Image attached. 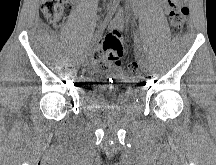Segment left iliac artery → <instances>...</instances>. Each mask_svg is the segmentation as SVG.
Returning a JSON list of instances; mask_svg holds the SVG:
<instances>
[{
  "label": "left iliac artery",
  "mask_w": 216,
  "mask_h": 165,
  "mask_svg": "<svg viewBox=\"0 0 216 165\" xmlns=\"http://www.w3.org/2000/svg\"><path fill=\"white\" fill-rule=\"evenodd\" d=\"M135 43H136L137 49H138L139 51H141L142 48H141V44H140L139 38L135 37Z\"/></svg>",
  "instance_id": "left-iliac-artery-1"
}]
</instances>
